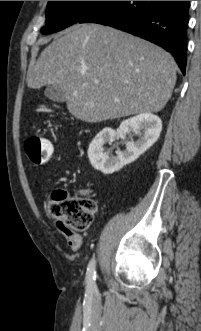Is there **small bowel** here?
Wrapping results in <instances>:
<instances>
[{
  "label": "small bowel",
  "instance_id": "obj_1",
  "mask_svg": "<svg viewBox=\"0 0 201 331\" xmlns=\"http://www.w3.org/2000/svg\"><path fill=\"white\" fill-rule=\"evenodd\" d=\"M66 239L73 250H78L81 245V238L77 233L65 230Z\"/></svg>",
  "mask_w": 201,
  "mask_h": 331
}]
</instances>
